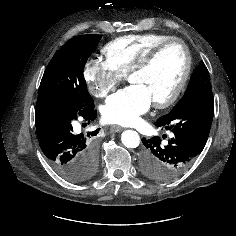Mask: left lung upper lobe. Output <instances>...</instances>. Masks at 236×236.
<instances>
[{
	"instance_id": "obj_1",
	"label": "left lung upper lobe",
	"mask_w": 236,
	"mask_h": 236,
	"mask_svg": "<svg viewBox=\"0 0 236 236\" xmlns=\"http://www.w3.org/2000/svg\"><path fill=\"white\" fill-rule=\"evenodd\" d=\"M206 90H211L210 77L205 64L201 62L191 75V79L184 96L176 104V106L167 115H165V117L179 111L189 101Z\"/></svg>"
}]
</instances>
